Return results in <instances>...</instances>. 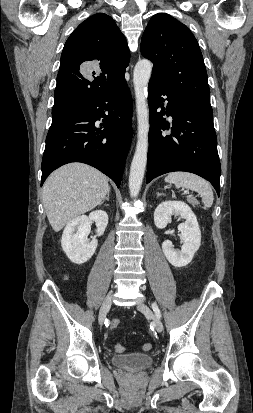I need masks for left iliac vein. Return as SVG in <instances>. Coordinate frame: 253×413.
Returning <instances> with one entry per match:
<instances>
[{"mask_svg": "<svg viewBox=\"0 0 253 413\" xmlns=\"http://www.w3.org/2000/svg\"><path fill=\"white\" fill-rule=\"evenodd\" d=\"M137 308L139 311H141L143 314H145L153 320V324L158 332L163 331V324L160 318L157 315H155L145 303L139 302L137 304Z\"/></svg>", "mask_w": 253, "mask_h": 413, "instance_id": "obj_1", "label": "left iliac vein"}]
</instances>
